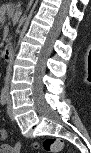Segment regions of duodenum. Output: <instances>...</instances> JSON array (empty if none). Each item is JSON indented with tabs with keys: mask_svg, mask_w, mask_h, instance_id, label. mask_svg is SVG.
I'll return each instance as SVG.
<instances>
[{
	"mask_svg": "<svg viewBox=\"0 0 91 153\" xmlns=\"http://www.w3.org/2000/svg\"><path fill=\"white\" fill-rule=\"evenodd\" d=\"M13 52H14L13 46L9 44L6 45L3 50V60L5 62H10L12 59Z\"/></svg>",
	"mask_w": 91,
	"mask_h": 153,
	"instance_id": "obj_1",
	"label": "duodenum"
}]
</instances>
